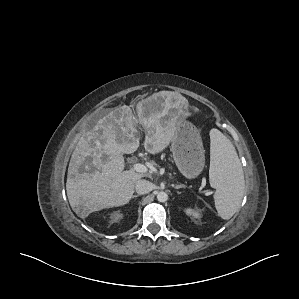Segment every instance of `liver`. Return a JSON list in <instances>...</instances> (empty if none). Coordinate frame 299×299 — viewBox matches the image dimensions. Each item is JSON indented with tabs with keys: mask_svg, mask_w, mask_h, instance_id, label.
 Masks as SVG:
<instances>
[{
	"mask_svg": "<svg viewBox=\"0 0 299 299\" xmlns=\"http://www.w3.org/2000/svg\"><path fill=\"white\" fill-rule=\"evenodd\" d=\"M169 106L159 111L151 102H138L137 118L129 106L111 110L78 141L70 159L66 191L72 210L82 219L104 208L127 204L144 174L124 170V154L140 145L137 124L146 133L144 148L162 152L171 142L175 121H164Z\"/></svg>",
	"mask_w": 299,
	"mask_h": 299,
	"instance_id": "obj_1",
	"label": "liver"
}]
</instances>
